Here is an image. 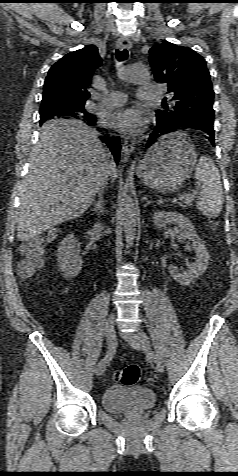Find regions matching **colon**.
Wrapping results in <instances>:
<instances>
[{
    "label": "colon",
    "mask_w": 238,
    "mask_h": 476,
    "mask_svg": "<svg viewBox=\"0 0 238 476\" xmlns=\"http://www.w3.org/2000/svg\"><path fill=\"white\" fill-rule=\"evenodd\" d=\"M23 259L18 265L19 276L27 279L32 276L35 270L42 262V247L38 241L28 243L22 248ZM114 379L117 383L132 386L141 379V370L136 365H129L114 373Z\"/></svg>",
    "instance_id": "colon-1"
}]
</instances>
